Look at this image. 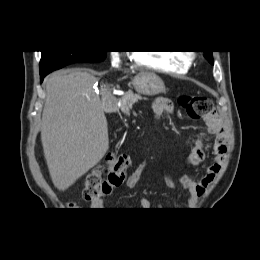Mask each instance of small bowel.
Listing matches in <instances>:
<instances>
[{
    "mask_svg": "<svg viewBox=\"0 0 260 260\" xmlns=\"http://www.w3.org/2000/svg\"><path fill=\"white\" fill-rule=\"evenodd\" d=\"M151 108L154 117L159 119L166 114H171L174 106L169 98L158 97L152 102ZM204 120L207 126V133L215 136L212 148V161L207 166L205 173L200 177H193L189 174H183L179 177H174L170 174L165 176V182L168 187L173 188L180 184L188 192L191 204H195L198 201L214 180L222 166L227 150L226 133L222 120L217 115L206 117ZM204 136L205 134H202L190 147L187 157V162L190 165H198L207 157L204 151ZM147 166V160L136 165L128 175L124 187L126 189L134 188ZM139 206L143 210H150L153 207L152 203L146 198L139 200ZM90 208L92 210H103L105 204L101 199L93 200L90 204Z\"/></svg>",
    "mask_w": 260,
    "mask_h": 260,
    "instance_id": "obj_1",
    "label": "small bowel"
}]
</instances>
